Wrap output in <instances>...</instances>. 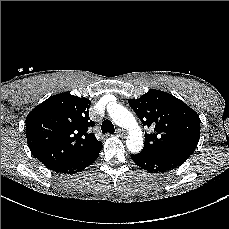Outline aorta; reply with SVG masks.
<instances>
[{"label":"aorta","mask_w":229,"mask_h":229,"mask_svg":"<svg viewBox=\"0 0 229 229\" xmlns=\"http://www.w3.org/2000/svg\"><path fill=\"white\" fill-rule=\"evenodd\" d=\"M107 108L114 123L129 130L126 140L128 150L131 153H139L143 148V137L133 114L117 103H111Z\"/></svg>","instance_id":"aorta-1"}]
</instances>
